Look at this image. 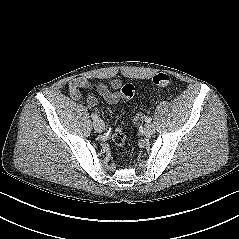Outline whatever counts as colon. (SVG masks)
<instances>
[{"label":"colon","instance_id":"1","mask_svg":"<svg viewBox=\"0 0 239 239\" xmlns=\"http://www.w3.org/2000/svg\"><path fill=\"white\" fill-rule=\"evenodd\" d=\"M170 83V76L167 73H158L152 79L155 87H165ZM121 95L124 101L131 100L135 95V87L132 84H125L121 89ZM113 142L122 148L125 144V134L123 131L122 120L118 124L113 134Z\"/></svg>","mask_w":239,"mask_h":239}]
</instances>
